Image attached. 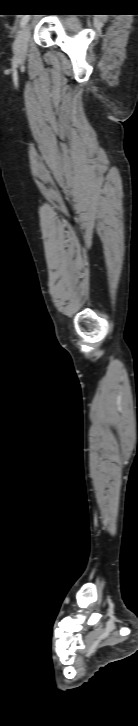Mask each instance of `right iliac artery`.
Wrapping results in <instances>:
<instances>
[{
	"label": "right iliac artery",
	"instance_id": "right-iliac-artery-1",
	"mask_svg": "<svg viewBox=\"0 0 138 726\" xmlns=\"http://www.w3.org/2000/svg\"><path fill=\"white\" fill-rule=\"evenodd\" d=\"M28 20H29V16L22 17V19L20 21V27H24L26 25V23L28 22Z\"/></svg>",
	"mask_w": 138,
	"mask_h": 726
}]
</instances>
